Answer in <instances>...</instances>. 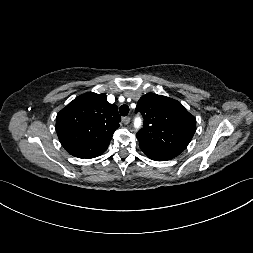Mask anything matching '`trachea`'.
Listing matches in <instances>:
<instances>
[{
	"instance_id": "3493384b",
	"label": "trachea",
	"mask_w": 253,
	"mask_h": 253,
	"mask_svg": "<svg viewBox=\"0 0 253 253\" xmlns=\"http://www.w3.org/2000/svg\"><path fill=\"white\" fill-rule=\"evenodd\" d=\"M119 111L122 116H127L129 113V106L126 104H123L120 106Z\"/></svg>"
}]
</instances>
